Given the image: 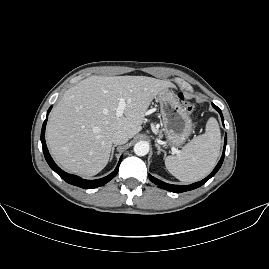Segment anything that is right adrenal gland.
<instances>
[{
    "label": "right adrenal gland",
    "instance_id": "right-adrenal-gland-1",
    "mask_svg": "<svg viewBox=\"0 0 269 269\" xmlns=\"http://www.w3.org/2000/svg\"><path fill=\"white\" fill-rule=\"evenodd\" d=\"M116 145L112 146V151H111V155H110V161L112 160L113 154H114V149H115Z\"/></svg>",
    "mask_w": 269,
    "mask_h": 269
}]
</instances>
